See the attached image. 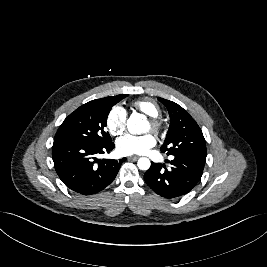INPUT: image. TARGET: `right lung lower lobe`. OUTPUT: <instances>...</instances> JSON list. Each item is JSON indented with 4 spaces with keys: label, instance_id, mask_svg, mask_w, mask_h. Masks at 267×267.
<instances>
[{
    "label": "right lung lower lobe",
    "instance_id": "right-lung-lower-lobe-1",
    "mask_svg": "<svg viewBox=\"0 0 267 267\" xmlns=\"http://www.w3.org/2000/svg\"><path fill=\"white\" fill-rule=\"evenodd\" d=\"M114 143L87 145L69 142L54 143L52 158L55 170L63 183L72 191L91 195L102 191L116 177L126 158L97 159V155L110 153Z\"/></svg>",
    "mask_w": 267,
    "mask_h": 267
}]
</instances>
